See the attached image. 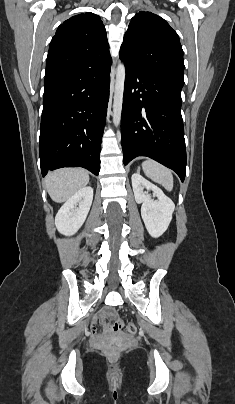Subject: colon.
Instances as JSON below:
<instances>
[{
    "mask_svg": "<svg viewBox=\"0 0 235 404\" xmlns=\"http://www.w3.org/2000/svg\"><path fill=\"white\" fill-rule=\"evenodd\" d=\"M104 316L109 318L107 326L110 331H118L123 326H125V331L129 334H134L137 330L136 325L132 322H129L124 325V323L121 320L116 318V314H115L114 310L111 308L104 309Z\"/></svg>",
    "mask_w": 235,
    "mask_h": 404,
    "instance_id": "5ec220e1",
    "label": "colon"
}]
</instances>
